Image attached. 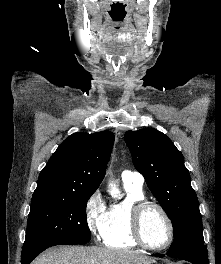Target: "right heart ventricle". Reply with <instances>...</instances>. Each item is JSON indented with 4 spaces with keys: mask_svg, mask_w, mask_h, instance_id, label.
I'll return each instance as SVG.
<instances>
[{
    "mask_svg": "<svg viewBox=\"0 0 221 264\" xmlns=\"http://www.w3.org/2000/svg\"><path fill=\"white\" fill-rule=\"evenodd\" d=\"M124 188L125 198L113 203L107 209L105 227L101 236L103 244L107 247L129 249L138 245L131 236L129 214L132 205L145 199V195L142 187L124 183Z\"/></svg>",
    "mask_w": 221,
    "mask_h": 264,
    "instance_id": "1",
    "label": "right heart ventricle"
}]
</instances>
